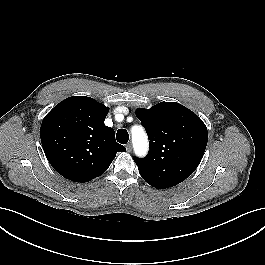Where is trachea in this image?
<instances>
[{
  "instance_id": "trachea-1",
  "label": "trachea",
  "mask_w": 265,
  "mask_h": 265,
  "mask_svg": "<svg viewBox=\"0 0 265 265\" xmlns=\"http://www.w3.org/2000/svg\"><path fill=\"white\" fill-rule=\"evenodd\" d=\"M116 138L119 143L126 144L129 140V134L126 129H119Z\"/></svg>"
}]
</instances>
